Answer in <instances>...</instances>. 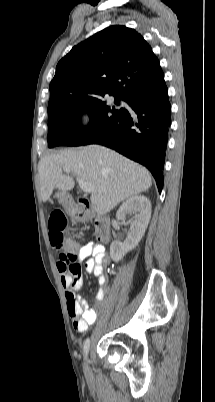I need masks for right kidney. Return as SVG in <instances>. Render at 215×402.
I'll list each match as a JSON object with an SVG mask.
<instances>
[{
  "instance_id": "ca27d5eb",
  "label": "right kidney",
  "mask_w": 215,
  "mask_h": 402,
  "mask_svg": "<svg viewBox=\"0 0 215 402\" xmlns=\"http://www.w3.org/2000/svg\"><path fill=\"white\" fill-rule=\"evenodd\" d=\"M127 215H133V219L126 240L123 243L115 240L110 246V256L115 262L133 250L144 236L151 218L150 200L141 195L128 198L118 209L116 217L125 220Z\"/></svg>"
}]
</instances>
